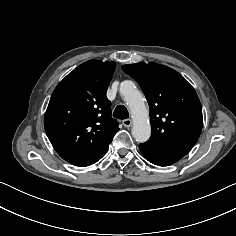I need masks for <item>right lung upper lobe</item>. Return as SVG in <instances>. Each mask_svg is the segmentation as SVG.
I'll return each instance as SVG.
<instances>
[{"mask_svg":"<svg viewBox=\"0 0 236 236\" xmlns=\"http://www.w3.org/2000/svg\"><path fill=\"white\" fill-rule=\"evenodd\" d=\"M115 67V62L89 60L55 88L44 127L58 154L94 156L108 149L119 130L106 97Z\"/></svg>","mask_w":236,"mask_h":236,"instance_id":"cb5924a9","label":"right lung upper lobe"}]
</instances>
